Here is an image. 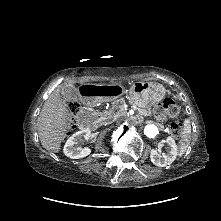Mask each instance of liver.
I'll return each instance as SVG.
<instances>
[{"mask_svg":"<svg viewBox=\"0 0 221 221\" xmlns=\"http://www.w3.org/2000/svg\"><path fill=\"white\" fill-rule=\"evenodd\" d=\"M118 82L106 84L119 85ZM56 89L45 102L37 119V130L42 146L52 152H59L61 142L70 128L71 114L60 98V90Z\"/></svg>","mask_w":221,"mask_h":221,"instance_id":"1","label":"liver"}]
</instances>
